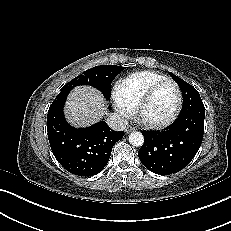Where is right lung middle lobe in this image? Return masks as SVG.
<instances>
[{"label":"right lung middle lobe","mask_w":231,"mask_h":231,"mask_svg":"<svg viewBox=\"0 0 231 231\" xmlns=\"http://www.w3.org/2000/svg\"><path fill=\"white\" fill-rule=\"evenodd\" d=\"M122 66L101 65L84 71L68 82L63 88L72 90L78 85H90L99 89L108 99L112 80L122 71Z\"/></svg>","instance_id":"right-lung-middle-lobe-1"}]
</instances>
